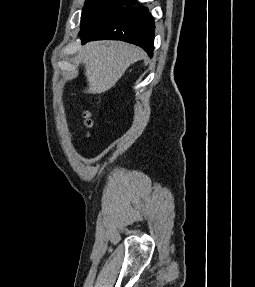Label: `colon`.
<instances>
[{"instance_id": "obj_1", "label": "colon", "mask_w": 255, "mask_h": 287, "mask_svg": "<svg viewBox=\"0 0 255 287\" xmlns=\"http://www.w3.org/2000/svg\"><path fill=\"white\" fill-rule=\"evenodd\" d=\"M84 119L87 127L92 128L94 126V120L92 118V113L90 111H86L84 113Z\"/></svg>"}]
</instances>
